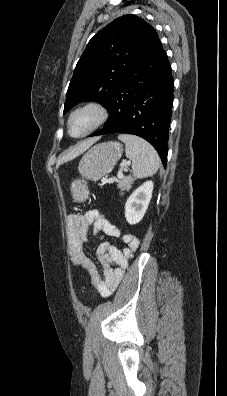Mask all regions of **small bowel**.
<instances>
[{"label": "small bowel", "mask_w": 227, "mask_h": 396, "mask_svg": "<svg viewBox=\"0 0 227 396\" xmlns=\"http://www.w3.org/2000/svg\"><path fill=\"white\" fill-rule=\"evenodd\" d=\"M94 232L120 238L127 246L120 250L102 238L97 248V258L102 266V275L96 265L84 253L89 228ZM67 246L75 265L83 268L89 275L96 290L102 296H110L123 278L129 260L140 245L139 239L132 234L122 235L104 214L90 210L82 215H70L67 219Z\"/></svg>", "instance_id": "small-bowel-1"}]
</instances>
